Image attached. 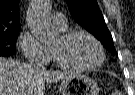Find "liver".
<instances>
[{
    "label": "liver",
    "instance_id": "6515ba94",
    "mask_svg": "<svg viewBox=\"0 0 135 95\" xmlns=\"http://www.w3.org/2000/svg\"><path fill=\"white\" fill-rule=\"evenodd\" d=\"M72 75L0 57V95H44L45 82L53 83Z\"/></svg>",
    "mask_w": 135,
    "mask_h": 95
}]
</instances>
